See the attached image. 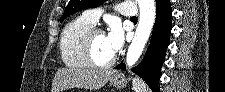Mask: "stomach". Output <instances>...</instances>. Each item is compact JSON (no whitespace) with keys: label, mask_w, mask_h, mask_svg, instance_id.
<instances>
[{"label":"stomach","mask_w":225,"mask_h":92,"mask_svg":"<svg viewBox=\"0 0 225 92\" xmlns=\"http://www.w3.org/2000/svg\"><path fill=\"white\" fill-rule=\"evenodd\" d=\"M110 83L115 88H124L127 85V79L121 73H113L110 77Z\"/></svg>","instance_id":"0dacf381"}]
</instances>
